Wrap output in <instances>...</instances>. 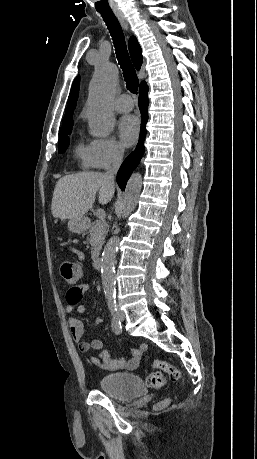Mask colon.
Returning a JSON list of instances; mask_svg holds the SVG:
<instances>
[{"mask_svg": "<svg viewBox=\"0 0 257 459\" xmlns=\"http://www.w3.org/2000/svg\"><path fill=\"white\" fill-rule=\"evenodd\" d=\"M59 271L63 279L68 284L77 282L82 276V269L79 264H74L73 261L63 260L59 264ZM151 371L146 377V384L151 388H161L165 385L167 379L177 381L180 378V372L170 363L164 360H154ZM168 404V400H163L158 404V408H162Z\"/></svg>", "mask_w": 257, "mask_h": 459, "instance_id": "5ec220e1", "label": "colon"}]
</instances>
